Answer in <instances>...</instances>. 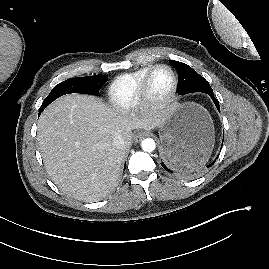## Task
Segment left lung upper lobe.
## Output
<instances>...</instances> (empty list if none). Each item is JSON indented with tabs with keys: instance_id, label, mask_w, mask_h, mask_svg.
Listing matches in <instances>:
<instances>
[{
	"instance_id": "5c2ea615",
	"label": "left lung upper lobe",
	"mask_w": 269,
	"mask_h": 269,
	"mask_svg": "<svg viewBox=\"0 0 269 269\" xmlns=\"http://www.w3.org/2000/svg\"><path fill=\"white\" fill-rule=\"evenodd\" d=\"M170 64L178 71L179 87L178 93L180 95L191 92H213L209 83L199 75L195 70L185 63L169 60Z\"/></svg>"
}]
</instances>
